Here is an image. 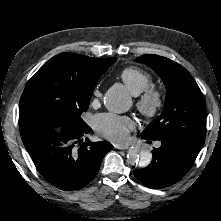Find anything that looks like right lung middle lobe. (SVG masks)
I'll list each match as a JSON object with an SVG mask.
<instances>
[{
	"mask_svg": "<svg viewBox=\"0 0 221 221\" xmlns=\"http://www.w3.org/2000/svg\"><path fill=\"white\" fill-rule=\"evenodd\" d=\"M116 58H106L104 73ZM95 83L74 82L39 69L27 83L20 99V128L33 123H66L77 128L86 123L82 114L88 109Z\"/></svg>",
	"mask_w": 221,
	"mask_h": 221,
	"instance_id": "dd1d6c3e",
	"label": "right lung middle lobe"
}]
</instances>
